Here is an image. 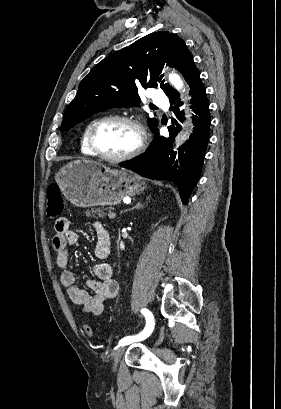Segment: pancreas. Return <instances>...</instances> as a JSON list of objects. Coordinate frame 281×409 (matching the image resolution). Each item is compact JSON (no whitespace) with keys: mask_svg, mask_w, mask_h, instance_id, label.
<instances>
[{"mask_svg":"<svg viewBox=\"0 0 281 409\" xmlns=\"http://www.w3.org/2000/svg\"><path fill=\"white\" fill-rule=\"evenodd\" d=\"M91 213H93V217H95V215H97V217H95V219H99V217H105V215H109V213H103L102 209H92V211H86V217H91Z\"/></svg>","mask_w":281,"mask_h":409,"instance_id":"cf45deb5","label":"pancreas"}]
</instances>
